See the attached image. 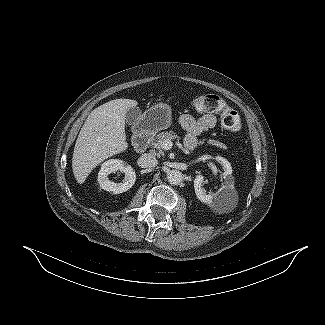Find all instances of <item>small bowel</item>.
<instances>
[{"instance_id":"obj_1","label":"small bowel","mask_w":325,"mask_h":325,"mask_svg":"<svg viewBox=\"0 0 325 325\" xmlns=\"http://www.w3.org/2000/svg\"><path fill=\"white\" fill-rule=\"evenodd\" d=\"M217 119L213 114H204L194 118L190 114H183L178 118V124L187 134L184 145L187 149H193L197 145V138L200 134L215 127Z\"/></svg>"}]
</instances>
